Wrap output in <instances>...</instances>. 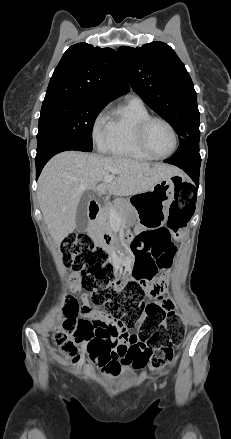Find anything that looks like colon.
<instances>
[{"label":"colon","mask_w":231,"mask_h":439,"mask_svg":"<svg viewBox=\"0 0 231 439\" xmlns=\"http://www.w3.org/2000/svg\"><path fill=\"white\" fill-rule=\"evenodd\" d=\"M174 189L177 199L170 208L169 227L178 233L194 213L195 194L194 188L182 180L175 182ZM141 238L137 236L133 241L134 250ZM61 252L64 265L80 275L82 287L90 293L94 304L102 305L114 321L126 328L139 325V338L153 349V353L151 356L144 352L136 354L133 366L142 368L151 359L152 368L159 369L170 362L173 347L183 339L184 327L173 310H166L156 304L148 305L144 300L149 289H156L152 283L156 268L138 263L130 277L120 280L106 249L97 245L88 234L67 236L62 242ZM172 261L171 253H166L159 258L156 267L167 269ZM77 314L76 300L67 297L64 322L55 335V343L66 357L74 356L77 345L91 338L89 329L78 324ZM89 350L99 366L114 374L119 371L121 364L109 348L90 342ZM78 359L76 357L75 362Z\"/></svg>","instance_id":"5ec220e1"}]
</instances>
